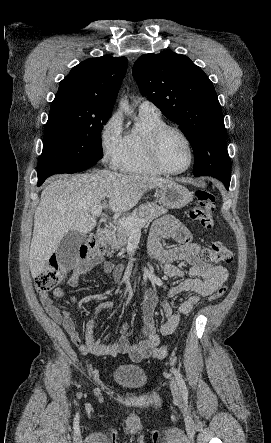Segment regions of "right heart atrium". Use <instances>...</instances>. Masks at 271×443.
Here are the masks:
<instances>
[{
  "label": "right heart atrium",
  "mask_w": 271,
  "mask_h": 443,
  "mask_svg": "<svg viewBox=\"0 0 271 443\" xmlns=\"http://www.w3.org/2000/svg\"><path fill=\"white\" fill-rule=\"evenodd\" d=\"M123 119L120 111L113 112L102 124L99 144L103 157L118 166L124 150Z\"/></svg>",
  "instance_id": "obj_1"
}]
</instances>
